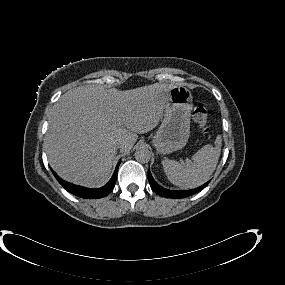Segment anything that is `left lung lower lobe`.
<instances>
[{"instance_id":"0a47b994","label":"left lung lower lobe","mask_w":285,"mask_h":285,"mask_svg":"<svg viewBox=\"0 0 285 285\" xmlns=\"http://www.w3.org/2000/svg\"><path fill=\"white\" fill-rule=\"evenodd\" d=\"M147 177H148L150 186L155 193H157L160 196H163L166 198H172V199H176V198L179 199V198H185V197L191 196L195 194L196 192L200 191L201 189H203L209 183L208 181L205 184L201 185L200 187H197L191 190L170 191V190L162 188L155 182V180L153 179L151 175L150 170H148Z\"/></svg>"}]
</instances>
